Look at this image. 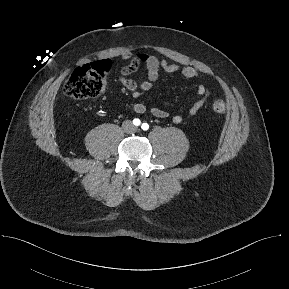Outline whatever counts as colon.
Here are the masks:
<instances>
[{
  "label": "colon",
  "mask_w": 289,
  "mask_h": 289,
  "mask_svg": "<svg viewBox=\"0 0 289 289\" xmlns=\"http://www.w3.org/2000/svg\"><path fill=\"white\" fill-rule=\"evenodd\" d=\"M111 64L100 61L86 64L77 68L64 84V93L69 98L83 100L101 95L107 86V74ZM213 109L217 113H224L226 104L222 99L213 102Z\"/></svg>",
  "instance_id": "1"
}]
</instances>
